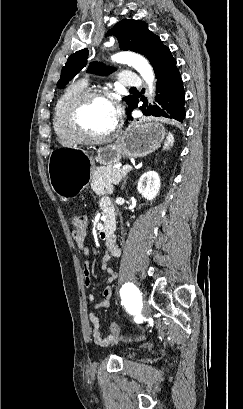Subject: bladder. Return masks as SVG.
<instances>
[{"instance_id":"obj_1","label":"bladder","mask_w":243,"mask_h":409,"mask_svg":"<svg viewBox=\"0 0 243 409\" xmlns=\"http://www.w3.org/2000/svg\"><path fill=\"white\" fill-rule=\"evenodd\" d=\"M136 354H137L136 352L131 351V352L128 353V357H129V358H132V357H134Z\"/></svg>"}]
</instances>
